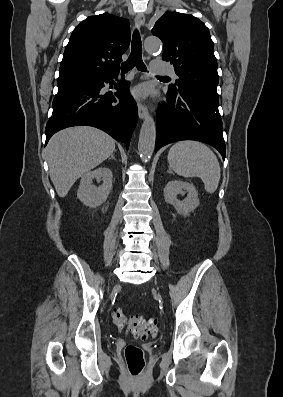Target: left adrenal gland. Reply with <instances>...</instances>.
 Instances as JSON below:
<instances>
[{
    "mask_svg": "<svg viewBox=\"0 0 283 397\" xmlns=\"http://www.w3.org/2000/svg\"><path fill=\"white\" fill-rule=\"evenodd\" d=\"M167 172L170 173V174H172V171H171L170 169H169Z\"/></svg>",
    "mask_w": 283,
    "mask_h": 397,
    "instance_id": "left-adrenal-gland-1",
    "label": "left adrenal gland"
}]
</instances>
